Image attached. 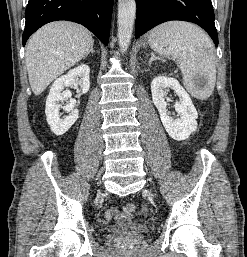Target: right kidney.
I'll list each match as a JSON object with an SVG mask.
<instances>
[{"label": "right kidney", "instance_id": "1", "mask_svg": "<svg viewBox=\"0 0 247 257\" xmlns=\"http://www.w3.org/2000/svg\"><path fill=\"white\" fill-rule=\"evenodd\" d=\"M90 68L86 64H82L71 69L66 75H62L54 81L51 86L49 95L46 100V117L51 131L57 135L66 133L76 122L79 116L78 109L75 108L76 101L71 98L72 94L69 90L63 91L71 85H79L82 92H88L90 88ZM70 100L65 106H61L59 101ZM62 107L65 111L70 112L65 118H60L59 109Z\"/></svg>", "mask_w": 247, "mask_h": 257}]
</instances>
